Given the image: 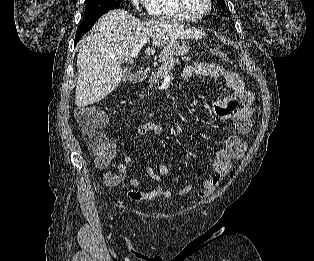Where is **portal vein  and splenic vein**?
<instances>
[{
	"label": "portal vein and splenic vein",
	"instance_id": "18ae733b",
	"mask_svg": "<svg viewBox=\"0 0 314 261\" xmlns=\"http://www.w3.org/2000/svg\"><path fill=\"white\" fill-rule=\"evenodd\" d=\"M146 43H147V40L141 41V42L139 43V45H137V46L132 50L129 59H130V58H133V57H135V56H137L138 53H139V51H140V49H141ZM112 58H113L114 60H117V58H115V57H112ZM127 60H128V58H125V59H123L122 61H125V62H126Z\"/></svg>",
	"mask_w": 314,
	"mask_h": 261
}]
</instances>
